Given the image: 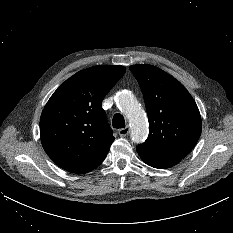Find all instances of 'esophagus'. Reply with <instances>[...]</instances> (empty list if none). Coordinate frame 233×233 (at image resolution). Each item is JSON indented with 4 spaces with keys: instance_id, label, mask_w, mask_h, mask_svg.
I'll use <instances>...</instances> for the list:
<instances>
[{
    "instance_id": "obj_1",
    "label": "esophagus",
    "mask_w": 233,
    "mask_h": 233,
    "mask_svg": "<svg viewBox=\"0 0 233 233\" xmlns=\"http://www.w3.org/2000/svg\"><path fill=\"white\" fill-rule=\"evenodd\" d=\"M129 130H130L129 127L126 126V127L122 128V129H120V130L118 131V133H119V135H120L121 137H125V136L128 135Z\"/></svg>"
}]
</instances>
